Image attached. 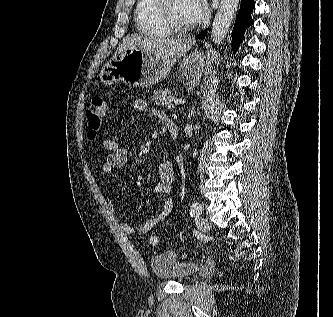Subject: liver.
Here are the masks:
<instances>
[{
    "mask_svg": "<svg viewBox=\"0 0 333 317\" xmlns=\"http://www.w3.org/2000/svg\"><path fill=\"white\" fill-rule=\"evenodd\" d=\"M194 43L193 38L176 39L132 34L123 38L116 50V55H124L127 49L139 48L144 52L176 62L192 48Z\"/></svg>",
    "mask_w": 333,
    "mask_h": 317,
    "instance_id": "obj_1",
    "label": "liver"
}]
</instances>
